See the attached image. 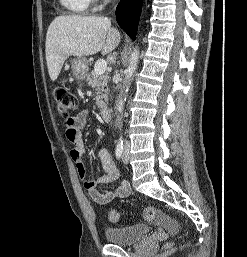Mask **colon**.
Here are the masks:
<instances>
[{
	"instance_id": "1",
	"label": "colon",
	"mask_w": 247,
	"mask_h": 257,
	"mask_svg": "<svg viewBox=\"0 0 247 257\" xmlns=\"http://www.w3.org/2000/svg\"><path fill=\"white\" fill-rule=\"evenodd\" d=\"M55 99L57 103V109L60 117L66 124L70 123L72 119V113L79 107L77 97L67 90L66 88H57L55 91ZM142 216L144 219L153 221L155 220V212L152 208H146ZM120 213L117 210H111L108 214V218L111 222L116 223L120 220Z\"/></svg>"
}]
</instances>
